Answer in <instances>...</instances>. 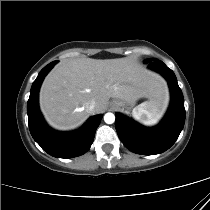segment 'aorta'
I'll return each mask as SVG.
<instances>
[{
    "label": "aorta",
    "mask_w": 210,
    "mask_h": 210,
    "mask_svg": "<svg viewBox=\"0 0 210 210\" xmlns=\"http://www.w3.org/2000/svg\"><path fill=\"white\" fill-rule=\"evenodd\" d=\"M104 121L107 124H112L115 122V115L113 113H106L104 116Z\"/></svg>",
    "instance_id": "aorta-1"
}]
</instances>
